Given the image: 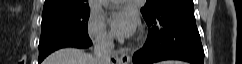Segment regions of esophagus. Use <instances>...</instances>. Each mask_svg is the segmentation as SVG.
<instances>
[{"instance_id": "esophagus-1", "label": "esophagus", "mask_w": 242, "mask_h": 64, "mask_svg": "<svg viewBox=\"0 0 242 64\" xmlns=\"http://www.w3.org/2000/svg\"><path fill=\"white\" fill-rule=\"evenodd\" d=\"M119 61L121 64H128L130 62V56H129L127 50L123 49L120 51Z\"/></svg>"}]
</instances>
